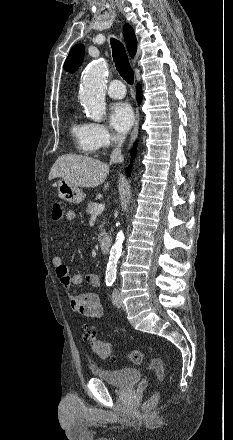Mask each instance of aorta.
<instances>
[{"instance_id":"762f6f07","label":"aorta","mask_w":233,"mask_h":440,"mask_svg":"<svg viewBox=\"0 0 233 440\" xmlns=\"http://www.w3.org/2000/svg\"><path fill=\"white\" fill-rule=\"evenodd\" d=\"M108 68L105 62H95L86 69L80 88V101L85 108L86 116L101 122L106 113L105 92ZM124 233L119 231L111 247L106 268V278L114 280L117 262L122 254Z\"/></svg>"}]
</instances>
